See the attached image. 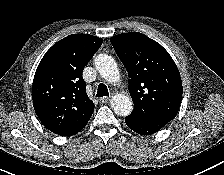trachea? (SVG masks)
<instances>
[{
	"instance_id": "1",
	"label": "trachea",
	"mask_w": 224,
	"mask_h": 175,
	"mask_svg": "<svg viewBox=\"0 0 224 175\" xmlns=\"http://www.w3.org/2000/svg\"><path fill=\"white\" fill-rule=\"evenodd\" d=\"M109 96L108 89L105 84L100 83L97 89L96 97Z\"/></svg>"
}]
</instances>
